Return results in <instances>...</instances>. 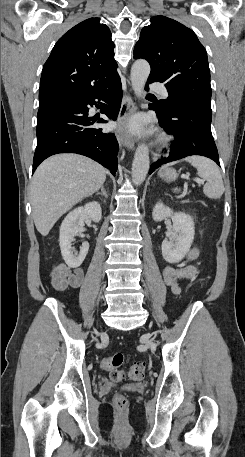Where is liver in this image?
Returning <instances> with one entry per match:
<instances>
[{
    "label": "liver",
    "mask_w": 245,
    "mask_h": 457,
    "mask_svg": "<svg viewBox=\"0 0 245 457\" xmlns=\"http://www.w3.org/2000/svg\"><path fill=\"white\" fill-rule=\"evenodd\" d=\"M106 168L81 154H54L41 162L31 182L32 216L47 237L56 220L106 180Z\"/></svg>",
    "instance_id": "1"
}]
</instances>
